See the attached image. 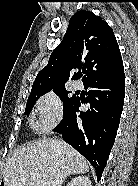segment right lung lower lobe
<instances>
[{"instance_id":"1","label":"right lung lower lobe","mask_w":138,"mask_h":186,"mask_svg":"<svg viewBox=\"0 0 138 186\" xmlns=\"http://www.w3.org/2000/svg\"><path fill=\"white\" fill-rule=\"evenodd\" d=\"M86 100L77 97L54 131L81 153L95 168L98 181L106 166L117 134L125 97V75L106 82H90ZM89 103L86 112H76Z\"/></svg>"}]
</instances>
